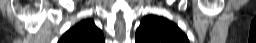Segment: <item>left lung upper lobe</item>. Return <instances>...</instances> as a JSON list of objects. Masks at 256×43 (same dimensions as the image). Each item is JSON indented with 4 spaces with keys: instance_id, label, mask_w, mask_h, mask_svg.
Returning <instances> with one entry per match:
<instances>
[{
    "instance_id": "1",
    "label": "left lung upper lobe",
    "mask_w": 256,
    "mask_h": 43,
    "mask_svg": "<svg viewBox=\"0 0 256 43\" xmlns=\"http://www.w3.org/2000/svg\"><path fill=\"white\" fill-rule=\"evenodd\" d=\"M135 43H189V40L173 22L149 15L141 20Z\"/></svg>"
}]
</instances>
